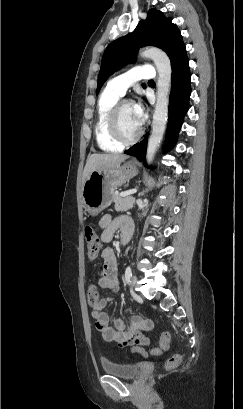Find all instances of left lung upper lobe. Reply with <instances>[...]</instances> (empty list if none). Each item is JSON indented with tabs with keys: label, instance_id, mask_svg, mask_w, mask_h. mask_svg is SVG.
Instances as JSON below:
<instances>
[{
	"label": "left lung upper lobe",
	"instance_id": "obj_1",
	"mask_svg": "<svg viewBox=\"0 0 243 409\" xmlns=\"http://www.w3.org/2000/svg\"><path fill=\"white\" fill-rule=\"evenodd\" d=\"M171 21L161 11L150 9L146 20H141L132 33L111 42L102 57L97 93L111 74L133 61L139 47L156 46L171 60L184 45L179 29Z\"/></svg>",
	"mask_w": 243,
	"mask_h": 409
}]
</instances>
